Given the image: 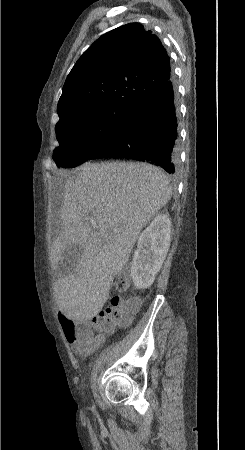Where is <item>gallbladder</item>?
<instances>
[{
  "mask_svg": "<svg viewBox=\"0 0 245 450\" xmlns=\"http://www.w3.org/2000/svg\"><path fill=\"white\" fill-rule=\"evenodd\" d=\"M82 252L83 248L79 245L72 244L68 246L56 270L57 275L61 277L74 273L76 262Z\"/></svg>",
  "mask_w": 245,
  "mask_h": 450,
  "instance_id": "bac80fb5",
  "label": "gallbladder"
}]
</instances>
